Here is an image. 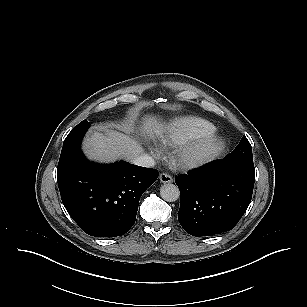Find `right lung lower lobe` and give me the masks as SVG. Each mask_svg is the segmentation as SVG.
I'll return each mask as SVG.
<instances>
[{
  "instance_id": "98d812e1",
  "label": "right lung lower lobe",
  "mask_w": 307,
  "mask_h": 307,
  "mask_svg": "<svg viewBox=\"0 0 307 307\" xmlns=\"http://www.w3.org/2000/svg\"><path fill=\"white\" fill-rule=\"evenodd\" d=\"M78 138L63 145L57 181L62 202L79 227L95 237H116L134 225L139 200L158 171L124 161L89 162Z\"/></svg>"
}]
</instances>
